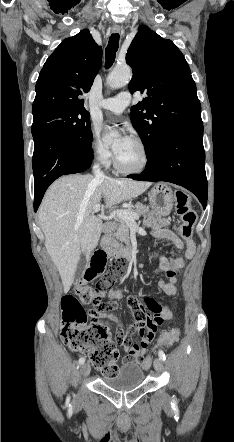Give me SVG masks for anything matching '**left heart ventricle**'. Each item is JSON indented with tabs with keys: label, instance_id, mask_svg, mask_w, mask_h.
<instances>
[{
	"label": "left heart ventricle",
	"instance_id": "obj_1",
	"mask_svg": "<svg viewBox=\"0 0 234 442\" xmlns=\"http://www.w3.org/2000/svg\"><path fill=\"white\" fill-rule=\"evenodd\" d=\"M114 150L118 162L125 169L137 168L142 162V152L139 146L133 141H130L124 147H121L120 141H117L114 144Z\"/></svg>",
	"mask_w": 234,
	"mask_h": 442
}]
</instances>
